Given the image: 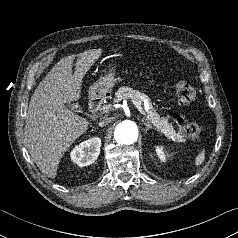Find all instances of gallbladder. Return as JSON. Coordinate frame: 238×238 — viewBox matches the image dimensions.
I'll use <instances>...</instances> for the list:
<instances>
[{
    "label": "gallbladder",
    "instance_id": "1",
    "mask_svg": "<svg viewBox=\"0 0 238 238\" xmlns=\"http://www.w3.org/2000/svg\"><path fill=\"white\" fill-rule=\"evenodd\" d=\"M68 106L71 108V109H76V105L75 104H72V103H68Z\"/></svg>",
    "mask_w": 238,
    "mask_h": 238
}]
</instances>
